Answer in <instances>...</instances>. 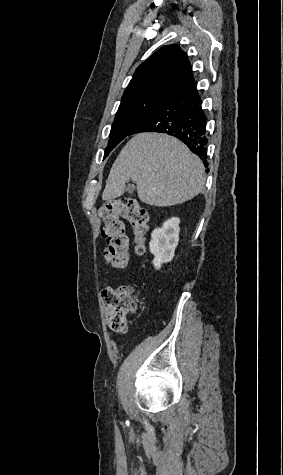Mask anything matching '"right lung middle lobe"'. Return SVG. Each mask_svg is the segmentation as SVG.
Returning a JSON list of instances; mask_svg holds the SVG:
<instances>
[{
  "label": "right lung middle lobe",
  "instance_id": "dd1d6c3e",
  "mask_svg": "<svg viewBox=\"0 0 283 475\" xmlns=\"http://www.w3.org/2000/svg\"><path fill=\"white\" fill-rule=\"evenodd\" d=\"M174 89H159L122 100L113 122L104 157L151 111L167 99Z\"/></svg>",
  "mask_w": 283,
  "mask_h": 475
}]
</instances>
